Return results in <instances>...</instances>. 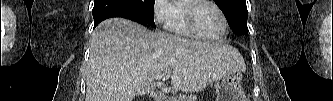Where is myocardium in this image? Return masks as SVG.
<instances>
[{
  "label": "myocardium",
  "mask_w": 333,
  "mask_h": 101,
  "mask_svg": "<svg viewBox=\"0 0 333 101\" xmlns=\"http://www.w3.org/2000/svg\"><path fill=\"white\" fill-rule=\"evenodd\" d=\"M202 5H209V6L213 7L220 15V17L223 21V25H224L223 32L221 35H219L217 37H209L207 35H204L201 32V30L199 29L197 21H196V11ZM184 15H185V22H186L188 29L198 38H201L204 40H209V41H219V40L223 39L228 33V30H229L228 20L225 16L224 12L219 8V6L212 1H207V0L187 1L185 8H184Z\"/></svg>",
  "instance_id": "f54148a6"
}]
</instances>
